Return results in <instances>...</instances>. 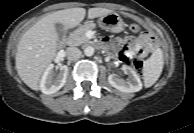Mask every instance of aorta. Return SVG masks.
Here are the masks:
<instances>
[{
  "instance_id": "obj_1",
  "label": "aorta",
  "mask_w": 194,
  "mask_h": 133,
  "mask_svg": "<svg viewBox=\"0 0 194 133\" xmlns=\"http://www.w3.org/2000/svg\"><path fill=\"white\" fill-rule=\"evenodd\" d=\"M84 54L88 57L92 56L94 54V48L91 47V46H87L85 49H84Z\"/></svg>"
}]
</instances>
